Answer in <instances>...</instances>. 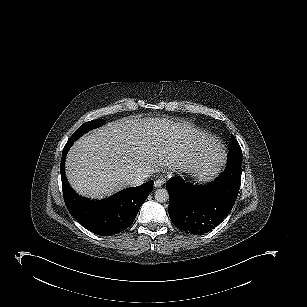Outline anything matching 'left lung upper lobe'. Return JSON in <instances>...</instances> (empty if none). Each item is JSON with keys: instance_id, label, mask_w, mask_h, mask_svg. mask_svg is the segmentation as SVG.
<instances>
[{"instance_id": "left-lung-upper-lobe-1", "label": "left lung upper lobe", "mask_w": 307, "mask_h": 307, "mask_svg": "<svg viewBox=\"0 0 307 307\" xmlns=\"http://www.w3.org/2000/svg\"><path fill=\"white\" fill-rule=\"evenodd\" d=\"M232 140H231V147L228 153V160L227 163L230 165H238L241 166V156H242V151L239 143L237 140L231 135Z\"/></svg>"}]
</instances>
